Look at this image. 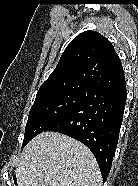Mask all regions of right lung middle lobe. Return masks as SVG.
<instances>
[{
    "mask_svg": "<svg viewBox=\"0 0 138 186\" xmlns=\"http://www.w3.org/2000/svg\"><path fill=\"white\" fill-rule=\"evenodd\" d=\"M91 90L82 85H71L38 92L29 113L22 147L83 103Z\"/></svg>",
    "mask_w": 138,
    "mask_h": 186,
    "instance_id": "1",
    "label": "right lung middle lobe"
}]
</instances>
